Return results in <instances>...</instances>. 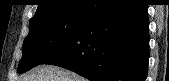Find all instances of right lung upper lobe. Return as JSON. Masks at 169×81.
<instances>
[{
	"label": "right lung upper lobe",
	"mask_w": 169,
	"mask_h": 81,
	"mask_svg": "<svg viewBox=\"0 0 169 81\" xmlns=\"http://www.w3.org/2000/svg\"><path fill=\"white\" fill-rule=\"evenodd\" d=\"M118 0H39L30 22L50 16H79L90 18Z\"/></svg>",
	"instance_id": "1"
}]
</instances>
